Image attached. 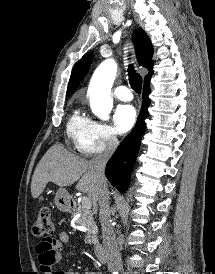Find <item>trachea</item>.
<instances>
[{"mask_svg":"<svg viewBox=\"0 0 215 274\" xmlns=\"http://www.w3.org/2000/svg\"><path fill=\"white\" fill-rule=\"evenodd\" d=\"M128 76H129V82L131 85V88L137 92L141 93L142 88V78L139 74H137L134 70V67L132 64L128 65Z\"/></svg>","mask_w":215,"mask_h":274,"instance_id":"obj_1","label":"trachea"}]
</instances>
